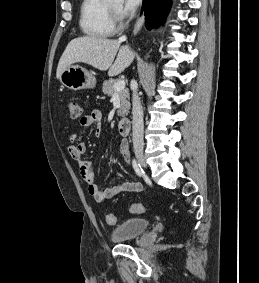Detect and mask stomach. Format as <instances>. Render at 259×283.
I'll use <instances>...</instances> for the list:
<instances>
[{
    "label": "stomach",
    "instance_id": "stomach-1",
    "mask_svg": "<svg viewBox=\"0 0 259 283\" xmlns=\"http://www.w3.org/2000/svg\"><path fill=\"white\" fill-rule=\"evenodd\" d=\"M60 82L63 86L72 90L90 89L96 86L95 76L78 65H71L65 69L60 76Z\"/></svg>",
    "mask_w": 259,
    "mask_h": 283
}]
</instances>
